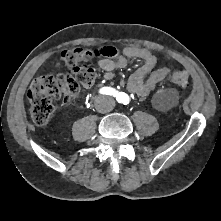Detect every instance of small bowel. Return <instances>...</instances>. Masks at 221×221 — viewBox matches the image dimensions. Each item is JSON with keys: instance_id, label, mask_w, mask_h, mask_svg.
Here are the masks:
<instances>
[{"instance_id": "obj_1", "label": "small bowel", "mask_w": 221, "mask_h": 221, "mask_svg": "<svg viewBox=\"0 0 221 221\" xmlns=\"http://www.w3.org/2000/svg\"><path fill=\"white\" fill-rule=\"evenodd\" d=\"M138 59L140 67L130 75L127 81V90L140 97H146L164 80L170 70L167 67L156 69L158 60L146 49L127 46L121 52L115 49L113 55L99 58L98 67L103 71V78L110 81L115 77V71L125 68L130 59Z\"/></svg>"}]
</instances>
